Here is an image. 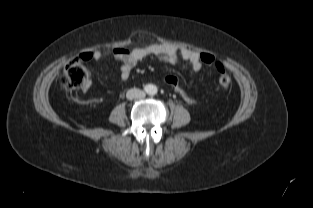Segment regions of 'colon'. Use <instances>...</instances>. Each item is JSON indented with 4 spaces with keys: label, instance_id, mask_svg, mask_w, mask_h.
Returning a JSON list of instances; mask_svg holds the SVG:
<instances>
[{
    "label": "colon",
    "instance_id": "5ec220e1",
    "mask_svg": "<svg viewBox=\"0 0 313 208\" xmlns=\"http://www.w3.org/2000/svg\"><path fill=\"white\" fill-rule=\"evenodd\" d=\"M200 60L208 65H213L218 73V83L221 87L227 88L231 84V77L227 73L224 65L217 61L216 58L209 52L200 53ZM90 73L89 70L82 63V59L77 58L69 62L61 77V84L66 89H79L85 88L89 84ZM165 81L174 89L177 97L183 101V103L193 106L196 104L194 98H192L182 83L176 76L168 75L165 77Z\"/></svg>",
    "mask_w": 313,
    "mask_h": 208
}]
</instances>
